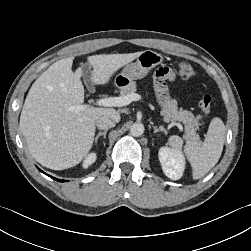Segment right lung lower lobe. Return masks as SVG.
Here are the masks:
<instances>
[{"label": "right lung lower lobe", "mask_w": 251, "mask_h": 251, "mask_svg": "<svg viewBox=\"0 0 251 251\" xmlns=\"http://www.w3.org/2000/svg\"><path fill=\"white\" fill-rule=\"evenodd\" d=\"M40 170V169H39ZM41 171V170H40ZM41 172H43V171H41ZM44 173V172H43ZM49 176V175H48ZM51 178H53L54 180H56V181H59V182H65L66 180H60V179H57V178H54V177H52V176H50Z\"/></svg>", "instance_id": "98d812e1"}]
</instances>
